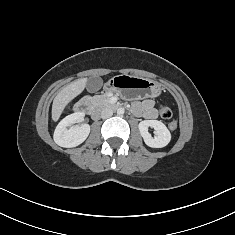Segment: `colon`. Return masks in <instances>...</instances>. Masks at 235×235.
Returning <instances> with one entry per match:
<instances>
[{"label": "colon", "instance_id": "obj_1", "mask_svg": "<svg viewBox=\"0 0 235 235\" xmlns=\"http://www.w3.org/2000/svg\"><path fill=\"white\" fill-rule=\"evenodd\" d=\"M159 113H160V116L164 119H169L171 116H172V111L171 109L166 106V105H162L159 109ZM169 129L171 131H174L177 129V123L175 121H171L169 123Z\"/></svg>", "mask_w": 235, "mask_h": 235}]
</instances>
